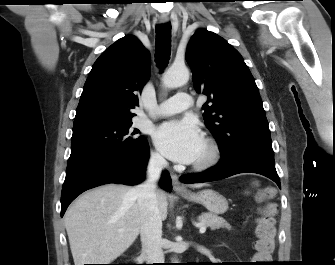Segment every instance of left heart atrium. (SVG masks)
<instances>
[{"instance_id":"obj_1","label":"left heart atrium","mask_w":335,"mask_h":265,"mask_svg":"<svg viewBox=\"0 0 335 265\" xmlns=\"http://www.w3.org/2000/svg\"><path fill=\"white\" fill-rule=\"evenodd\" d=\"M154 141L167 158L186 164L195 162L204 143L199 128L189 119L161 124L154 132Z\"/></svg>"}]
</instances>
